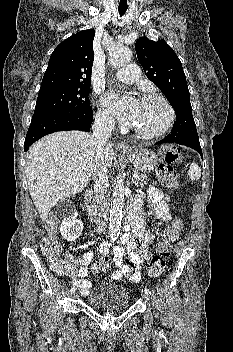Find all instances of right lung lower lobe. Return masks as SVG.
I'll return each instance as SVG.
<instances>
[{
	"mask_svg": "<svg viewBox=\"0 0 233 352\" xmlns=\"http://www.w3.org/2000/svg\"><path fill=\"white\" fill-rule=\"evenodd\" d=\"M92 121V109L80 112L50 113L32 117L25 138L24 151H28L36 140L53 132L66 130L89 132Z\"/></svg>",
	"mask_w": 233,
	"mask_h": 352,
	"instance_id": "98d812e1",
	"label": "right lung lower lobe"
}]
</instances>
